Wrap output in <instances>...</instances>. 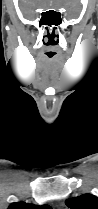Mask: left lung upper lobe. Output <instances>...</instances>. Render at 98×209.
<instances>
[{
	"instance_id": "left-lung-upper-lobe-1",
	"label": "left lung upper lobe",
	"mask_w": 98,
	"mask_h": 209,
	"mask_svg": "<svg viewBox=\"0 0 98 209\" xmlns=\"http://www.w3.org/2000/svg\"><path fill=\"white\" fill-rule=\"evenodd\" d=\"M65 203L70 209H98V199L91 194L67 199Z\"/></svg>"
}]
</instances>
